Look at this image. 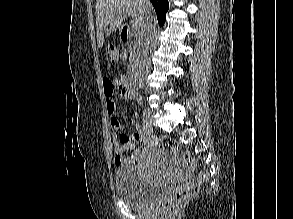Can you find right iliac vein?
I'll use <instances>...</instances> for the list:
<instances>
[{"label":"right iliac vein","mask_w":293,"mask_h":219,"mask_svg":"<svg viewBox=\"0 0 293 219\" xmlns=\"http://www.w3.org/2000/svg\"><path fill=\"white\" fill-rule=\"evenodd\" d=\"M143 120L145 121V123H147V125L151 126L152 125V113L150 110L148 109H144L143 110Z\"/></svg>","instance_id":"right-iliac-vein-1"}]
</instances>
